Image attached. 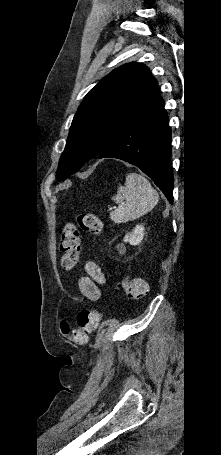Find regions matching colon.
<instances>
[{
  "label": "colon",
  "instance_id": "1",
  "mask_svg": "<svg viewBox=\"0 0 221 455\" xmlns=\"http://www.w3.org/2000/svg\"><path fill=\"white\" fill-rule=\"evenodd\" d=\"M97 235L102 230L101 219L93 213H81L76 222L67 223L61 232L59 248L61 252V265L65 269L76 266L81 250L79 231ZM130 299H141L148 292V283L143 278H124L118 285ZM101 320V314L94 310H82L77 315V328L71 329L66 321L61 323V331L69 342L82 345L86 342L90 332L96 329Z\"/></svg>",
  "mask_w": 221,
  "mask_h": 455
}]
</instances>
